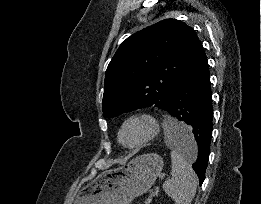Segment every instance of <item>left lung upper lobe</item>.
Here are the masks:
<instances>
[{
	"label": "left lung upper lobe",
	"mask_w": 261,
	"mask_h": 204,
	"mask_svg": "<svg viewBox=\"0 0 261 204\" xmlns=\"http://www.w3.org/2000/svg\"><path fill=\"white\" fill-rule=\"evenodd\" d=\"M198 37L176 19H165L122 42L108 65L103 115L118 116L155 104L166 110Z\"/></svg>",
	"instance_id": "obj_1"
}]
</instances>
